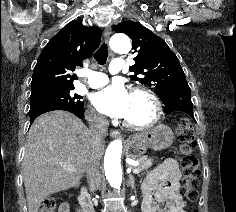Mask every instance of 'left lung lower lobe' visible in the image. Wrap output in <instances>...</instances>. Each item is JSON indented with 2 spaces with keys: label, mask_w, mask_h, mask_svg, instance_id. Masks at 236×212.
I'll use <instances>...</instances> for the list:
<instances>
[{
  "label": "left lung lower lobe",
  "mask_w": 236,
  "mask_h": 212,
  "mask_svg": "<svg viewBox=\"0 0 236 212\" xmlns=\"http://www.w3.org/2000/svg\"><path fill=\"white\" fill-rule=\"evenodd\" d=\"M162 102L165 104L166 114L181 111L187 113L195 120L189 86L170 92Z\"/></svg>",
  "instance_id": "left-lung-lower-lobe-1"
}]
</instances>
